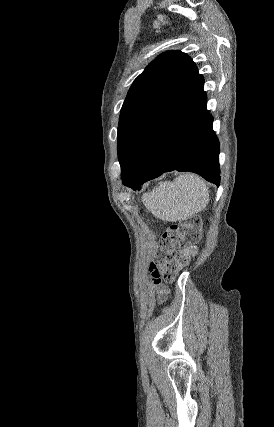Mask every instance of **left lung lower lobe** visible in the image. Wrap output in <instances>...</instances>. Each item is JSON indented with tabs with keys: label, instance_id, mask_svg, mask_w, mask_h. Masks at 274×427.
Returning a JSON list of instances; mask_svg holds the SVG:
<instances>
[{
	"label": "left lung lower lobe",
	"instance_id": "left-lung-lower-lobe-1",
	"mask_svg": "<svg viewBox=\"0 0 274 427\" xmlns=\"http://www.w3.org/2000/svg\"><path fill=\"white\" fill-rule=\"evenodd\" d=\"M203 76L198 74L144 137L125 186L140 189L143 182L164 172L191 171L219 185V141L206 110Z\"/></svg>",
	"mask_w": 274,
	"mask_h": 427
}]
</instances>
